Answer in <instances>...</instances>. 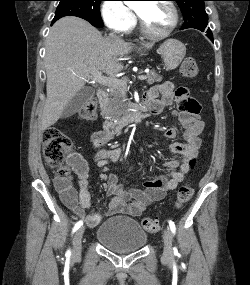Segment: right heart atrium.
I'll return each mask as SVG.
<instances>
[{"label":"right heart atrium","mask_w":250,"mask_h":285,"mask_svg":"<svg viewBox=\"0 0 250 285\" xmlns=\"http://www.w3.org/2000/svg\"><path fill=\"white\" fill-rule=\"evenodd\" d=\"M101 16L105 25L119 33L132 30L136 18L122 0H105L101 5Z\"/></svg>","instance_id":"obj_1"}]
</instances>
